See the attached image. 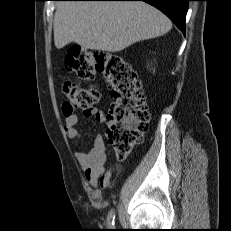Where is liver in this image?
I'll use <instances>...</instances> for the list:
<instances>
[{"label": "liver", "mask_w": 231, "mask_h": 231, "mask_svg": "<svg viewBox=\"0 0 231 231\" xmlns=\"http://www.w3.org/2000/svg\"><path fill=\"white\" fill-rule=\"evenodd\" d=\"M171 21L158 9L139 1H60L54 15L58 49L70 42L103 52L162 36Z\"/></svg>", "instance_id": "obj_1"}]
</instances>
